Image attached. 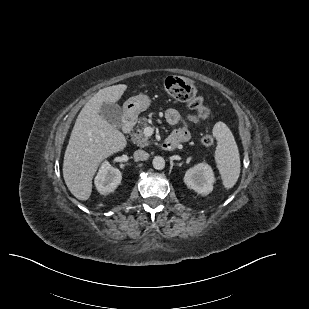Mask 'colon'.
Masks as SVG:
<instances>
[{"mask_svg": "<svg viewBox=\"0 0 309 309\" xmlns=\"http://www.w3.org/2000/svg\"><path fill=\"white\" fill-rule=\"evenodd\" d=\"M165 88L174 99L186 103L201 118L209 117V109L204 105L195 85L190 80L179 76H170L165 81ZM201 141L204 145L210 146L214 139L211 135H205Z\"/></svg>", "mask_w": 309, "mask_h": 309, "instance_id": "obj_1", "label": "colon"}]
</instances>
